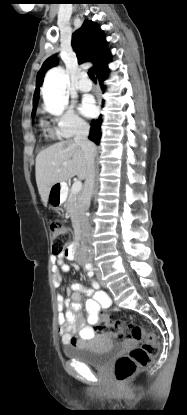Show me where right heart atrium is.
<instances>
[{"instance_id": "1", "label": "right heart atrium", "mask_w": 187, "mask_h": 415, "mask_svg": "<svg viewBox=\"0 0 187 415\" xmlns=\"http://www.w3.org/2000/svg\"><path fill=\"white\" fill-rule=\"evenodd\" d=\"M55 132L60 138H71L87 131V123L72 109H66L62 114L52 119Z\"/></svg>"}]
</instances>
